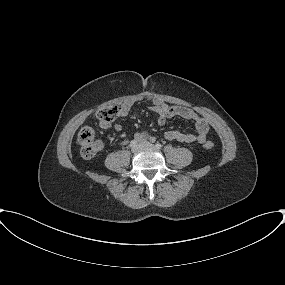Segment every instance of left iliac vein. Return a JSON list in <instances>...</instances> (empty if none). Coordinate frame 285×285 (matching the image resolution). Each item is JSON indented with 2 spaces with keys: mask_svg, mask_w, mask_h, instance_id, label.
<instances>
[{
  "mask_svg": "<svg viewBox=\"0 0 285 285\" xmlns=\"http://www.w3.org/2000/svg\"><path fill=\"white\" fill-rule=\"evenodd\" d=\"M142 145H143V147H147V148H152V149L156 148L153 144H151V143H149L147 141H144L142 143Z\"/></svg>",
  "mask_w": 285,
  "mask_h": 285,
  "instance_id": "4c4485c4",
  "label": "left iliac vein"
}]
</instances>
